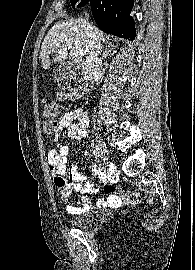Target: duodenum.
<instances>
[{"label":"duodenum","mask_w":195,"mask_h":270,"mask_svg":"<svg viewBox=\"0 0 195 270\" xmlns=\"http://www.w3.org/2000/svg\"><path fill=\"white\" fill-rule=\"evenodd\" d=\"M81 77L84 82V91L90 93L94 88V76L88 68L81 70Z\"/></svg>","instance_id":"410a0bca"}]
</instances>
